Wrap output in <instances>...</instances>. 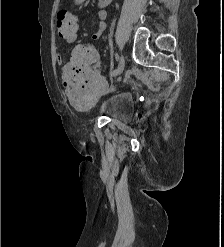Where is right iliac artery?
Wrapping results in <instances>:
<instances>
[{
  "instance_id": "1",
  "label": "right iliac artery",
  "mask_w": 224,
  "mask_h": 247,
  "mask_svg": "<svg viewBox=\"0 0 224 247\" xmlns=\"http://www.w3.org/2000/svg\"><path fill=\"white\" fill-rule=\"evenodd\" d=\"M116 73H117V69L116 70H113L110 75L111 76H116Z\"/></svg>"
}]
</instances>
